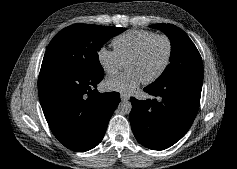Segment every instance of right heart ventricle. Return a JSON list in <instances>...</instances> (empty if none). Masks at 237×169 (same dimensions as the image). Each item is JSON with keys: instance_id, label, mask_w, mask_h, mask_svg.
<instances>
[{"instance_id": "right-heart-ventricle-1", "label": "right heart ventricle", "mask_w": 237, "mask_h": 169, "mask_svg": "<svg viewBox=\"0 0 237 169\" xmlns=\"http://www.w3.org/2000/svg\"><path fill=\"white\" fill-rule=\"evenodd\" d=\"M155 35L153 31L134 29L126 31L116 36L113 41V47L123 62L132 55L149 37Z\"/></svg>"}]
</instances>
